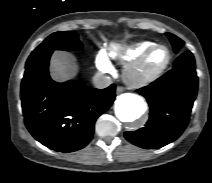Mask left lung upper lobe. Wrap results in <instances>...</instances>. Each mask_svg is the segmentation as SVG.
Segmentation results:
<instances>
[{
	"label": "left lung upper lobe",
	"instance_id": "5c2ea615",
	"mask_svg": "<svg viewBox=\"0 0 212 183\" xmlns=\"http://www.w3.org/2000/svg\"><path fill=\"white\" fill-rule=\"evenodd\" d=\"M166 35L169 37L170 41L172 42L174 51L178 52L180 48L184 45V42L180 38H178L177 36L171 33H166Z\"/></svg>",
	"mask_w": 212,
	"mask_h": 183
}]
</instances>
